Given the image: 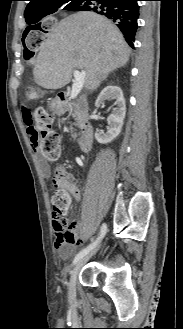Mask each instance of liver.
I'll use <instances>...</instances> for the list:
<instances>
[{
	"label": "liver",
	"instance_id": "liver-1",
	"mask_svg": "<svg viewBox=\"0 0 183 329\" xmlns=\"http://www.w3.org/2000/svg\"><path fill=\"white\" fill-rule=\"evenodd\" d=\"M130 52L110 20L94 12H78L62 19L42 42L34 77L45 89H60L75 69H82L85 87L93 90L110 72L126 65Z\"/></svg>",
	"mask_w": 183,
	"mask_h": 329
}]
</instances>
